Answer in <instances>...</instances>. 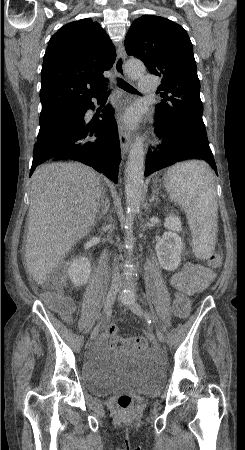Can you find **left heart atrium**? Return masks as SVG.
<instances>
[{
  "label": "left heart atrium",
  "mask_w": 245,
  "mask_h": 450,
  "mask_svg": "<svg viewBox=\"0 0 245 450\" xmlns=\"http://www.w3.org/2000/svg\"><path fill=\"white\" fill-rule=\"evenodd\" d=\"M140 111L132 107L128 109L121 118L122 124L127 128H134L140 121Z\"/></svg>",
  "instance_id": "left-heart-atrium-1"
}]
</instances>
